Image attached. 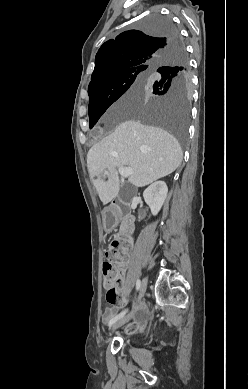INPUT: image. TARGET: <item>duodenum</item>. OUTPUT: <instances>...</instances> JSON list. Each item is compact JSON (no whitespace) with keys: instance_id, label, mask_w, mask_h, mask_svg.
<instances>
[{"instance_id":"1","label":"duodenum","mask_w":248,"mask_h":389,"mask_svg":"<svg viewBox=\"0 0 248 389\" xmlns=\"http://www.w3.org/2000/svg\"><path fill=\"white\" fill-rule=\"evenodd\" d=\"M105 213H114V220H105ZM118 217L121 218V227L124 235L129 236L134 231L135 216L129 211H123L122 204L118 199L112 201V205L104 212L103 219L107 230H113Z\"/></svg>"}]
</instances>
